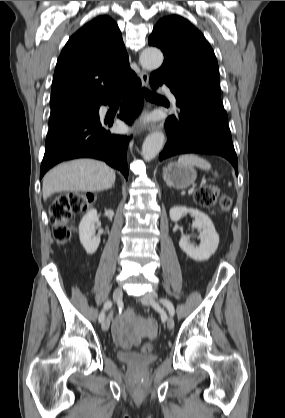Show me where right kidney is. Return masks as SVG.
<instances>
[{
	"label": "right kidney",
	"instance_id": "ca27d5eb",
	"mask_svg": "<svg viewBox=\"0 0 285 418\" xmlns=\"http://www.w3.org/2000/svg\"><path fill=\"white\" fill-rule=\"evenodd\" d=\"M99 218L97 211L91 209L82 218L79 224V239L87 254H93L99 247L100 237L95 235V224Z\"/></svg>",
	"mask_w": 285,
	"mask_h": 418
}]
</instances>
